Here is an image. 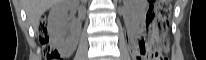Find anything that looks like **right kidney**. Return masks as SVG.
<instances>
[{"label":"right kidney","mask_w":206,"mask_h":60,"mask_svg":"<svg viewBox=\"0 0 206 60\" xmlns=\"http://www.w3.org/2000/svg\"><path fill=\"white\" fill-rule=\"evenodd\" d=\"M75 4L70 1H65L55 5L49 14V30L50 35L55 45L60 50L73 49L77 44L79 36V27L76 22L71 26L68 25V11L73 12ZM71 31V35L67 32Z\"/></svg>","instance_id":"1"}]
</instances>
